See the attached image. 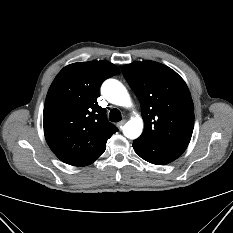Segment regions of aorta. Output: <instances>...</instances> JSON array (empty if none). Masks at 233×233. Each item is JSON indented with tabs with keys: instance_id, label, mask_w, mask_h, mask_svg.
Here are the masks:
<instances>
[{
	"instance_id": "1",
	"label": "aorta",
	"mask_w": 233,
	"mask_h": 233,
	"mask_svg": "<svg viewBox=\"0 0 233 233\" xmlns=\"http://www.w3.org/2000/svg\"><path fill=\"white\" fill-rule=\"evenodd\" d=\"M104 97L112 104L129 106L130 96L124 85L116 79H108L102 85ZM143 130V120L136 116L129 120L123 127V134L129 139L138 138Z\"/></svg>"
}]
</instances>
